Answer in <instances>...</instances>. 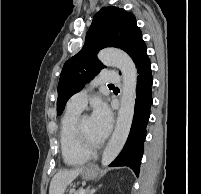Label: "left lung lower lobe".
I'll list each match as a JSON object with an SVG mask.
<instances>
[{
  "mask_svg": "<svg viewBox=\"0 0 201 194\" xmlns=\"http://www.w3.org/2000/svg\"><path fill=\"white\" fill-rule=\"evenodd\" d=\"M146 51V44L141 40L132 57L138 73L133 122L123 150L110 164V166H128L137 176L139 175L143 155V143L146 137L147 122L150 117V107L153 102L151 88L153 78L150 59Z\"/></svg>",
  "mask_w": 201,
  "mask_h": 194,
  "instance_id": "obj_1",
  "label": "left lung lower lobe"
}]
</instances>
